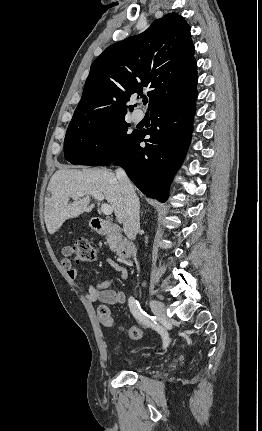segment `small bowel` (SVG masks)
<instances>
[{
	"mask_svg": "<svg viewBox=\"0 0 262 431\" xmlns=\"http://www.w3.org/2000/svg\"><path fill=\"white\" fill-rule=\"evenodd\" d=\"M108 262L119 273L122 280L128 279L129 274L125 267L119 265V263L113 259H109ZM62 265L69 279L76 280L80 276V270L73 267L69 260H63ZM110 286V280L92 283L88 286L86 297L89 302L99 305V312L107 310L112 317L108 306L124 304L126 302V295L124 291L120 289H110ZM165 337L170 341V337L166 331Z\"/></svg>",
	"mask_w": 262,
	"mask_h": 431,
	"instance_id": "small-bowel-1",
	"label": "small bowel"
}]
</instances>
